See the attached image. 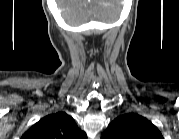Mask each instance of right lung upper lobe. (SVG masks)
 Here are the masks:
<instances>
[{
  "instance_id": "right-lung-upper-lobe-1",
  "label": "right lung upper lobe",
  "mask_w": 179,
  "mask_h": 139,
  "mask_svg": "<svg viewBox=\"0 0 179 139\" xmlns=\"http://www.w3.org/2000/svg\"><path fill=\"white\" fill-rule=\"evenodd\" d=\"M23 139H84L86 134L76 125L72 117L64 112L45 116L34 124Z\"/></svg>"
}]
</instances>
